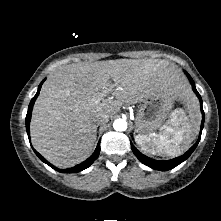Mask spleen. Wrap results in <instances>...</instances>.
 I'll return each mask as SVG.
<instances>
[{
	"mask_svg": "<svg viewBox=\"0 0 221 221\" xmlns=\"http://www.w3.org/2000/svg\"><path fill=\"white\" fill-rule=\"evenodd\" d=\"M189 115L183 109H175L159 134H138L135 142L147 153L160 156H178L187 150L194 139L196 115L189 108Z\"/></svg>",
	"mask_w": 221,
	"mask_h": 221,
	"instance_id": "obj_1",
	"label": "spleen"
}]
</instances>
